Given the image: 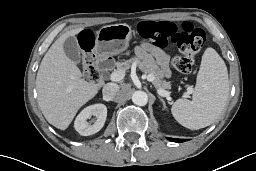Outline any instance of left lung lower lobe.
Here are the masks:
<instances>
[{"label": "left lung lower lobe", "mask_w": 256, "mask_h": 171, "mask_svg": "<svg viewBox=\"0 0 256 171\" xmlns=\"http://www.w3.org/2000/svg\"><path fill=\"white\" fill-rule=\"evenodd\" d=\"M170 141H173V142H184L186 141L185 139H174V138H168Z\"/></svg>", "instance_id": "left-lung-lower-lobe-1"}]
</instances>
